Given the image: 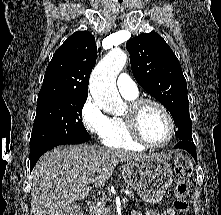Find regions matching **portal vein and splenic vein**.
<instances>
[{
	"mask_svg": "<svg viewBox=\"0 0 221 215\" xmlns=\"http://www.w3.org/2000/svg\"><path fill=\"white\" fill-rule=\"evenodd\" d=\"M123 200H127L126 197H123ZM90 209L96 211L97 213H104L105 211H107V208H104L103 206L98 205H90Z\"/></svg>",
	"mask_w": 221,
	"mask_h": 215,
	"instance_id": "18ae733b",
	"label": "portal vein and splenic vein"
}]
</instances>
